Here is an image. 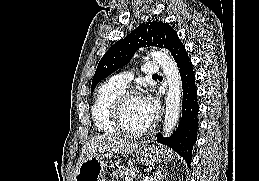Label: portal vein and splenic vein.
I'll list each match as a JSON object with an SVG mask.
<instances>
[{
    "label": "portal vein and splenic vein",
    "mask_w": 259,
    "mask_h": 181,
    "mask_svg": "<svg viewBox=\"0 0 259 181\" xmlns=\"http://www.w3.org/2000/svg\"><path fill=\"white\" fill-rule=\"evenodd\" d=\"M126 181H132V179L131 178H126Z\"/></svg>",
    "instance_id": "portal-vein-and-splenic-vein-1"
}]
</instances>
